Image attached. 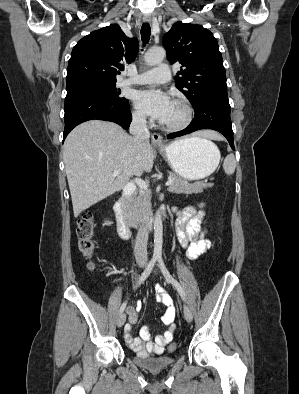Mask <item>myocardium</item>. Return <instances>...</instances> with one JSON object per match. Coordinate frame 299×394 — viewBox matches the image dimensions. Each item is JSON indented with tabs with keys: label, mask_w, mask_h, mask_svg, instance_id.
<instances>
[{
	"label": "myocardium",
	"mask_w": 299,
	"mask_h": 394,
	"mask_svg": "<svg viewBox=\"0 0 299 394\" xmlns=\"http://www.w3.org/2000/svg\"><path fill=\"white\" fill-rule=\"evenodd\" d=\"M175 103L179 104L183 111H184V118L182 121L175 123V124H167L163 121L161 122L162 127L168 131H179L185 129L187 126L190 125L193 119V109L189 102L183 98H176L174 99Z\"/></svg>",
	"instance_id": "obj_1"
}]
</instances>
